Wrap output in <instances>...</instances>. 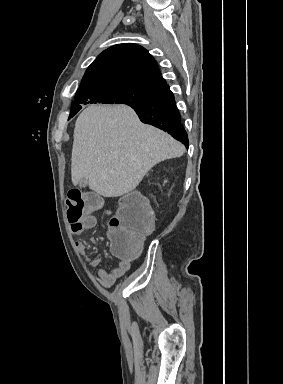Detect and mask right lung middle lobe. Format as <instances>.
<instances>
[{"mask_svg":"<svg viewBox=\"0 0 283 384\" xmlns=\"http://www.w3.org/2000/svg\"><path fill=\"white\" fill-rule=\"evenodd\" d=\"M156 92L148 91L124 84H99L90 87L78 89L75 95V101L71 105V114L73 117L81 108L82 104L88 103H106V104H126L141 105L151 101Z\"/></svg>","mask_w":283,"mask_h":384,"instance_id":"right-lung-middle-lobe-1","label":"right lung middle lobe"}]
</instances>
